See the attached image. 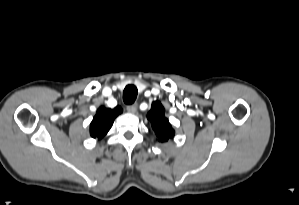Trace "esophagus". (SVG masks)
Here are the masks:
<instances>
[{
	"instance_id": "esophagus-1",
	"label": "esophagus",
	"mask_w": 299,
	"mask_h": 205,
	"mask_svg": "<svg viewBox=\"0 0 299 205\" xmlns=\"http://www.w3.org/2000/svg\"><path fill=\"white\" fill-rule=\"evenodd\" d=\"M137 108H138V104L134 103V104L128 105L126 109L129 113H135L137 111Z\"/></svg>"
}]
</instances>
